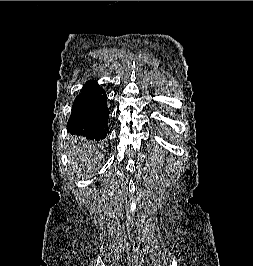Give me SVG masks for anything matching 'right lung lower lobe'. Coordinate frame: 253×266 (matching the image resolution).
<instances>
[{
  "label": "right lung lower lobe",
  "mask_w": 253,
  "mask_h": 266,
  "mask_svg": "<svg viewBox=\"0 0 253 266\" xmlns=\"http://www.w3.org/2000/svg\"><path fill=\"white\" fill-rule=\"evenodd\" d=\"M108 119L109 109L105 91L95 80L86 82L73 103L67 130L71 134L103 142L109 133Z\"/></svg>",
  "instance_id": "1"
}]
</instances>
